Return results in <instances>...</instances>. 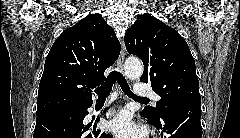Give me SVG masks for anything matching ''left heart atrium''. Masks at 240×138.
<instances>
[{"instance_id": "left-heart-atrium-1", "label": "left heart atrium", "mask_w": 240, "mask_h": 138, "mask_svg": "<svg viewBox=\"0 0 240 138\" xmlns=\"http://www.w3.org/2000/svg\"><path fill=\"white\" fill-rule=\"evenodd\" d=\"M110 130L120 138H129L143 134V130L137 126L129 112L121 110L110 122Z\"/></svg>"}]
</instances>
